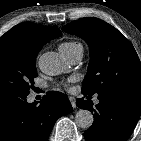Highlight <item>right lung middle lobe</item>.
Segmentation results:
<instances>
[{
    "label": "right lung middle lobe",
    "mask_w": 141,
    "mask_h": 141,
    "mask_svg": "<svg viewBox=\"0 0 141 141\" xmlns=\"http://www.w3.org/2000/svg\"><path fill=\"white\" fill-rule=\"evenodd\" d=\"M38 51L18 44L0 46V94L28 95L37 76Z\"/></svg>",
    "instance_id": "dd1d6c3e"
}]
</instances>
